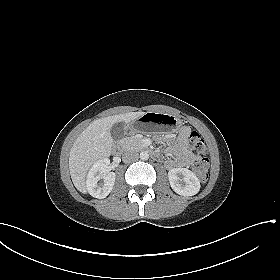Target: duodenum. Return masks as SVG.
<instances>
[{
	"instance_id": "1",
	"label": "duodenum",
	"mask_w": 280,
	"mask_h": 280,
	"mask_svg": "<svg viewBox=\"0 0 280 280\" xmlns=\"http://www.w3.org/2000/svg\"><path fill=\"white\" fill-rule=\"evenodd\" d=\"M123 146H124L123 143L117 144L116 150H117V151H121V150L123 149ZM145 149H147V148H145ZM151 156H152L154 159H156V160H161V159H162V155H161L160 153H158V152L152 151V152H151Z\"/></svg>"
}]
</instances>
